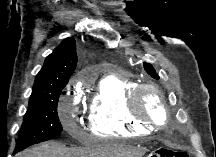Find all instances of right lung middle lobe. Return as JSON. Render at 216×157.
I'll return each instance as SVG.
<instances>
[{
    "label": "right lung middle lobe",
    "mask_w": 216,
    "mask_h": 157,
    "mask_svg": "<svg viewBox=\"0 0 216 157\" xmlns=\"http://www.w3.org/2000/svg\"><path fill=\"white\" fill-rule=\"evenodd\" d=\"M61 91L43 98L29 100V107L18 136L16 152L32 144L52 139L62 132L63 128L57 113Z\"/></svg>",
    "instance_id": "1"
}]
</instances>
